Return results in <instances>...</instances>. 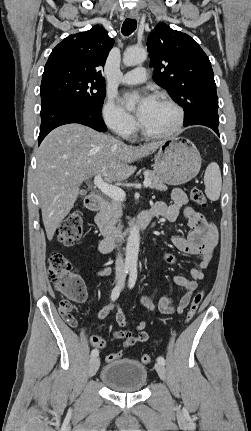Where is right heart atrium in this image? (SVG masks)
I'll return each mask as SVG.
<instances>
[{
    "mask_svg": "<svg viewBox=\"0 0 251 431\" xmlns=\"http://www.w3.org/2000/svg\"><path fill=\"white\" fill-rule=\"evenodd\" d=\"M105 124L123 137H130L136 130L134 118L122 109L112 98H108L102 108Z\"/></svg>",
    "mask_w": 251,
    "mask_h": 431,
    "instance_id": "right-heart-atrium-1",
    "label": "right heart atrium"
}]
</instances>
